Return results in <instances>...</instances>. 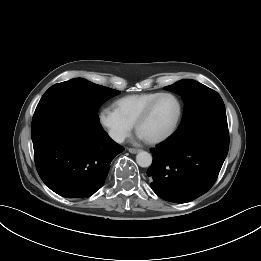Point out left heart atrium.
Here are the masks:
<instances>
[{"instance_id":"obj_1","label":"left heart atrium","mask_w":261,"mask_h":261,"mask_svg":"<svg viewBox=\"0 0 261 261\" xmlns=\"http://www.w3.org/2000/svg\"><path fill=\"white\" fill-rule=\"evenodd\" d=\"M137 137H138V139H140V140H146V139H145L142 135H140L139 133H138Z\"/></svg>"}]
</instances>
